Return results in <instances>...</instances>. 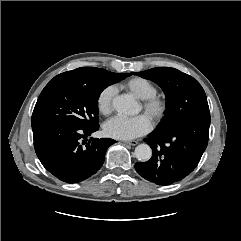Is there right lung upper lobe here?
I'll use <instances>...</instances> for the list:
<instances>
[{"mask_svg": "<svg viewBox=\"0 0 241 241\" xmlns=\"http://www.w3.org/2000/svg\"><path fill=\"white\" fill-rule=\"evenodd\" d=\"M100 71V68L81 67L72 71H67L62 74H59V76L74 78L82 81H90L96 78Z\"/></svg>", "mask_w": 241, "mask_h": 241, "instance_id": "1", "label": "right lung upper lobe"}]
</instances>
